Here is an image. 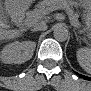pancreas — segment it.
Here are the masks:
<instances>
[{
    "instance_id": "pancreas-1",
    "label": "pancreas",
    "mask_w": 91,
    "mask_h": 91,
    "mask_svg": "<svg viewBox=\"0 0 91 91\" xmlns=\"http://www.w3.org/2000/svg\"><path fill=\"white\" fill-rule=\"evenodd\" d=\"M58 8L66 9L73 24L78 25L77 17L73 14L72 10L70 9L66 1H53V0L41 1L37 5V8L34 9L30 14L33 15L35 19H42L46 14Z\"/></svg>"
}]
</instances>
